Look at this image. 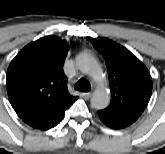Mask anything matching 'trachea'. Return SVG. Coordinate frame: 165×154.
<instances>
[{
	"instance_id": "1",
	"label": "trachea",
	"mask_w": 165,
	"mask_h": 154,
	"mask_svg": "<svg viewBox=\"0 0 165 154\" xmlns=\"http://www.w3.org/2000/svg\"><path fill=\"white\" fill-rule=\"evenodd\" d=\"M75 89L82 92H88L90 90V83L86 79L81 78L76 83Z\"/></svg>"
}]
</instances>
